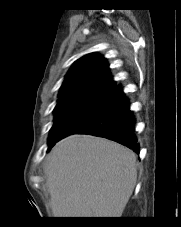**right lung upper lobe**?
Here are the masks:
<instances>
[{
	"mask_svg": "<svg viewBox=\"0 0 181 227\" xmlns=\"http://www.w3.org/2000/svg\"><path fill=\"white\" fill-rule=\"evenodd\" d=\"M116 87L105 59L90 53L73 64L62 83L59 99L92 92H113Z\"/></svg>",
	"mask_w": 181,
	"mask_h": 227,
	"instance_id": "obj_1",
	"label": "right lung upper lobe"
}]
</instances>
